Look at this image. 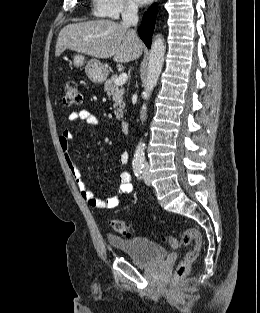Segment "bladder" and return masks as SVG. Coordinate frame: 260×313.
I'll return each mask as SVG.
<instances>
[{"label":"bladder","instance_id":"1","mask_svg":"<svg viewBox=\"0 0 260 313\" xmlns=\"http://www.w3.org/2000/svg\"><path fill=\"white\" fill-rule=\"evenodd\" d=\"M107 241L112 248L128 254L138 266L149 267L167 256V251L162 245L143 237L125 238L109 235Z\"/></svg>","mask_w":260,"mask_h":313}]
</instances>
